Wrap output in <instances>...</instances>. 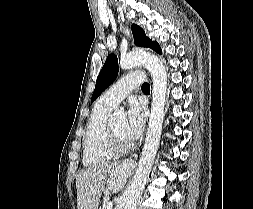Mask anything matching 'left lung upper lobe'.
Listing matches in <instances>:
<instances>
[{"mask_svg":"<svg viewBox=\"0 0 253 209\" xmlns=\"http://www.w3.org/2000/svg\"><path fill=\"white\" fill-rule=\"evenodd\" d=\"M131 30L134 37L135 45L140 47H149L158 54H162V50L156 41L150 40L146 35L144 30L135 25H131ZM118 59L115 54H110L102 67L96 81V86L91 98V103L95 101L99 95L111 85L118 75Z\"/></svg>","mask_w":253,"mask_h":209,"instance_id":"left-lung-upper-lobe-1","label":"left lung upper lobe"}]
</instances>
